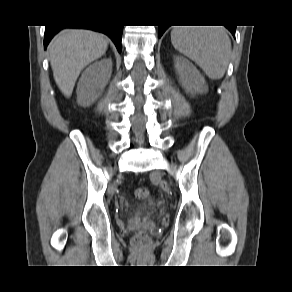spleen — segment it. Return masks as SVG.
<instances>
[{
    "label": "spleen",
    "mask_w": 292,
    "mask_h": 292,
    "mask_svg": "<svg viewBox=\"0 0 292 292\" xmlns=\"http://www.w3.org/2000/svg\"><path fill=\"white\" fill-rule=\"evenodd\" d=\"M171 42L210 79L224 76L231 55V41L224 28L176 26L171 31Z\"/></svg>",
    "instance_id": "spleen-1"
}]
</instances>
